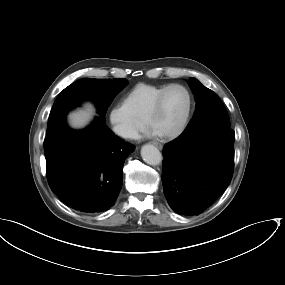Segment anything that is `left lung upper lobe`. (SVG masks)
<instances>
[{"instance_id": "5c2ea615", "label": "left lung upper lobe", "mask_w": 285, "mask_h": 285, "mask_svg": "<svg viewBox=\"0 0 285 285\" xmlns=\"http://www.w3.org/2000/svg\"><path fill=\"white\" fill-rule=\"evenodd\" d=\"M188 84L195 95L196 109L185 130L204 124L230 127L227 111L220 98L194 78H190Z\"/></svg>"}]
</instances>
